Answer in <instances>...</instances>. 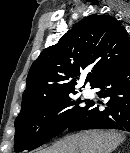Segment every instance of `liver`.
I'll use <instances>...</instances> for the list:
<instances>
[{
  "instance_id": "6515ba94",
  "label": "liver",
  "mask_w": 130,
  "mask_h": 153,
  "mask_svg": "<svg viewBox=\"0 0 130 153\" xmlns=\"http://www.w3.org/2000/svg\"><path fill=\"white\" fill-rule=\"evenodd\" d=\"M124 140L116 131L89 130L68 135L40 153H111Z\"/></svg>"
}]
</instances>
